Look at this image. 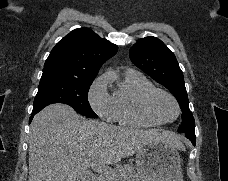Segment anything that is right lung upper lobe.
I'll list each match as a JSON object with an SVG mask.
<instances>
[{
	"label": "right lung upper lobe",
	"instance_id": "1",
	"mask_svg": "<svg viewBox=\"0 0 228 181\" xmlns=\"http://www.w3.org/2000/svg\"><path fill=\"white\" fill-rule=\"evenodd\" d=\"M118 47L88 28H78L66 35L48 56L42 77L69 80H94L101 65Z\"/></svg>",
	"mask_w": 228,
	"mask_h": 181
}]
</instances>
